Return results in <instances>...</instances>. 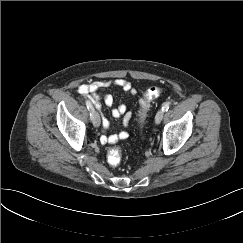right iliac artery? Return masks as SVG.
Here are the masks:
<instances>
[{
    "label": "right iliac artery",
    "instance_id": "1",
    "mask_svg": "<svg viewBox=\"0 0 243 243\" xmlns=\"http://www.w3.org/2000/svg\"><path fill=\"white\" fill-rule=\"evenodd\" d=\"M86 106H87V108H88L90 111L93 110V106H92V104H91L89 101H86ZM90 117H91V113H90Z\"/></svg>",
    "mask_w": 243,
    "mask_h": 243
}]
</instances>
